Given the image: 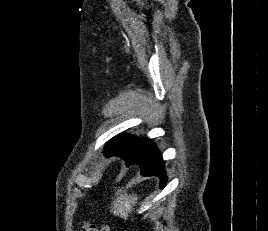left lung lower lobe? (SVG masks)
<instances>
[{"mask_svg": "<svg viewBox=\"0 0 268 231\" xmlns=\"http://www.w3.org/2000/svg\"><path fill=\"white\" fill-rule=\"evenodd\" d=\"M107 156H120L126 161L127 167L132 164H139L143 176H159L161 178L162 188L166 185V173L164 161L156 148L154 142L150 141L140 149L129 147L117 152L104 148Z\"/></svg>", "mask_w": 268, "mask_h": 231, "instance_id": "0a47b994", "label": "left lung lower lobe"}]
</instances>
